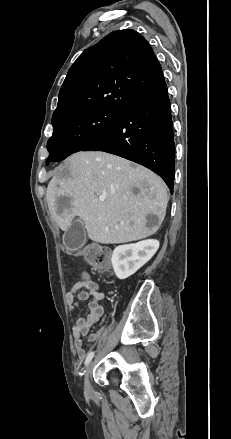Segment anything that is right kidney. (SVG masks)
<instances>
[{"label":"right kidney","mask_w":231,"mask_h":439,"mask_svg":"<svg viewBox=\"0 0 231 439\" xmlns=\"http://www.w3.org/2000/svg\"><path fill=\"white\" fill-rule=\"evenodd\" d=\"M159 248V241L148 239L134 244L117 246L111 262L116 276L126 279L147 263Z\"/></svg>","instance_id":"1"}]
</instances>
